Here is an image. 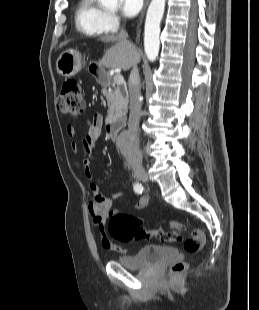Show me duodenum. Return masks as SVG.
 <instances>
[{"label": "duodenum", "mask_w": 259, "mask_h": 310, "mask_svg": "<svg viewBox=\"0 0 259 310\" xmlns=\"http://www.w3.org/2000/svg\"><path fill=\"white\" fill-rule=\"evenodd\" d=\"M90 71L94 76L99 78L101 83L107 84L109 82V79L106 76V74H104L98 66L93 65L92 67H90ZM118 130H119V124L117 122L109 121L107 123L106 131L110 138L115 139L117 137Z\"/></svg>", "instance_id": "1"}]
</instances>
